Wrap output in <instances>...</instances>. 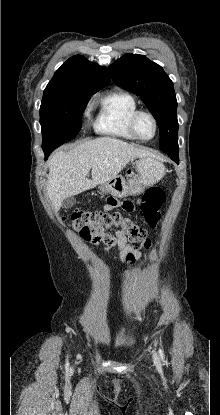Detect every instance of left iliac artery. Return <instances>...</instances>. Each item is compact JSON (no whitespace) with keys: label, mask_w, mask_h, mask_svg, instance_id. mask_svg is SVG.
Instances as JSON below:
<instances>
[{"label":"left iliac artery","mask_w":220,"mask_h":415,"mask_svg":"<svg viewBox=\"0 0 220 415\" xmlns=\"http://www.w3.org/2000/svg\"><path fill=\"white\" fill-rule=\"evenodd\" d=\"M159 355H160V357H161V359H162V361L164 362V360H165V355H164V351H163V349L162 348H159Z\"/></svg>","instance_id":"left-iliac-artery-1"}]
</instances>
